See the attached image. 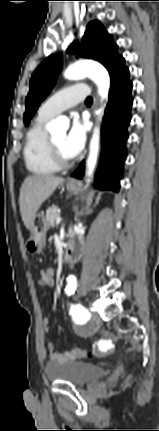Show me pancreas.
<instances>
[{
  "label": "pancreas",
  "instance_id": "1",
  "mask_svg": "<svg viewBox=\"0 0 159 431\" xmlns=\"http://www.w3.org/2000/svg\"><path fill=\"white\" fill-rule=\"evenodd\" d=\"M58 207L56 205H52L46 211V222L49 227H54L56 219L59 217Z\"/></svg>",
  "mask_w": 159,
  "mask_h": 431
}]
</instances>
